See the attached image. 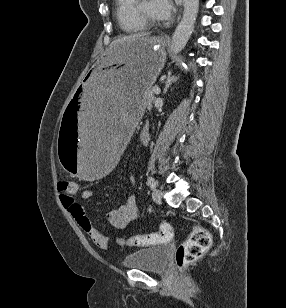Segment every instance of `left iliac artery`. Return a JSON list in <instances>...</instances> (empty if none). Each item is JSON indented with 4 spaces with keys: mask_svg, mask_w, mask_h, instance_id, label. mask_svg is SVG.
I'll list each match as a JSON object with an SVG mask.
<instances>
[{
    "mask_svg": "<svg viewBox=\"0 0 286 308\" xmlns=\"http://www.w3.org/2000/svg\"><path fill=\"white\" fill-rule=\"evenodd\" d=\"M147 181L151 189H154L156 187V182L153 177H148Z\"/></svg>",
    "mask_w": 286,
    "mask_h": 308,
    "instance_id": "44dca946",
    "label": "left iliac artery"
}]
</instances>
